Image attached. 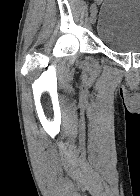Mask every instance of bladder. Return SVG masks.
<instances>
[{
  "mask_svg": "<svg viewBox=\"0 0 140 196\" xmlns=\"http://www.w3.org/2000/svg\"><path fill=\"white\" fill-rule=\"evenodd\" d=\"M97 35L113 52L140 53V0H104Z\"/></svg>",
  "mask_w": 140,
  "mask_h": 196,
  "instance_id": "obj_1",
  "label": "bladder"
}]
</instances>
